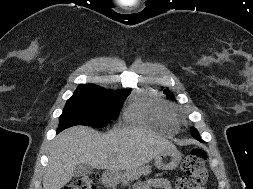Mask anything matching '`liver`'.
Here are the masks:
<instances>
[{
  "mask_svg": "<svg viewBox=\"0 0 253 189\" xmlns=\"http://www.w3.org/2000/svg\"><path fill=\"white\" fill-rule=\"evenodd\" d=\"M173 149L176 147L172 142L142 128H114L102 135L87 126H74L50 145L43 189L64 187L79 163L96 169L125 170L128 178L136 177L146 163Z\"/></svg>",
  "mask_w": 253,
  "mask_h": 189,
  "instance_id": "liver-1",
  "label": "liver"
}]
</instances>
